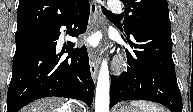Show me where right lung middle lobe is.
<instances>
[{
    "mask_svg": "<svg viewBox=\"0 0 193 112\" xmlns=\"http://www.w3.org/2000/svg\"><path fill=\"white\" fill-rule=\"evenodd\" d=\"M41 29H43V28L16 32V34H15V41H19L21 39L29 37L30 35H33L36 32L40 31Z\"/></svg>",
    "mask_w": 193,
    "mask_h": 112,
    "instance_id": "1",
    "label": "right lung middle lobe"
}]
</instances>
